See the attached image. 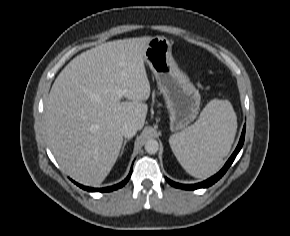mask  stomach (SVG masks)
Instances as JSON below:
<instances>
[{"label": "stomach", "mask_w": 290, "mask_h": 236, "mask_svg": "<svg viewBox=\"0 0 290 236\" xmlns=\"http://www.w3.org/2000/svg\"><path fill=\"white\" fill-rule=\"evenodd\" d=\"M144 60L163 95L170 129L179 131L187 128L198 115L201 96L174 60L170 41L161 36L152 37L145 50Z\"/></svg>", "instance_id": "1"}]
</instances>
